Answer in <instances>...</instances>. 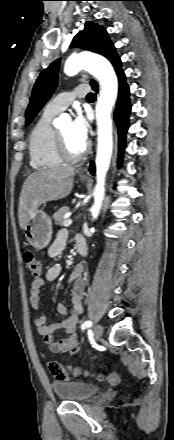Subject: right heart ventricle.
<instances>
[{"label": "right heart ventricle", "instance_id": "e07e8e85", "mask_svg": "<svg viewBox=\"0 0 174 440\" xmlns=\"http://www.w3.org/2000/svg\"><path fill=\"white\" fill-rule=\"evenodd\" d=\"M55 115L44 110L29 134L28 151L34 169L55 168L64 161L57 150L56 130L51 125Z\"/></svg>", "mask_w": 174, "mask_h": 440}]
</instances>
